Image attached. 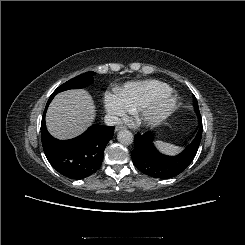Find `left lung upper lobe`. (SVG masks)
Segmentation results:
<instances>
[{
	"mask_svg": "<svg viewBox=\"0 0 245 245\" xmlns=\"http://www.w3.org/2000/svg\"><path fill=\"white\" fill-rule=\"evenodd\" d=\"M194 108H195V111H196V113H197V115L199 117L200 126H202V120H201V115H200V111H199V107H198V102H197V99L195 98V96H194Z\"/></svg>",
	"mask_w": 245,
	"mask_h": 245,
	"instance_id": "obj_1",
	"label": "left lung upper lobe"
}]
</instances>
